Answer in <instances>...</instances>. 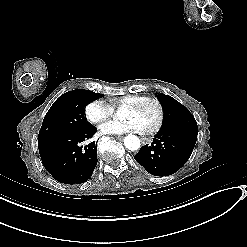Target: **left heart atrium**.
<instances>
[{
	"label": "left heart atrium",
	"mask_w": 247,
	"mask_h": 247,
	"mask_svg": "<svg viewBox=\"0 0 247 247\" xmlns=\"http://www.w3.org/2000/svg\"><path fill=\"white\" fill-rule=\"evenodd\" d=\"M104 134H122L127 132H141L142 127L137 119H129L124 122H109L100 127Z\"/></svg>",
	"instance_id": "obj_1"
}]
</instances>
